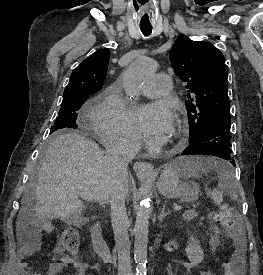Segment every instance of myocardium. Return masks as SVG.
<instances>
[{
	"label": "myocardium",
	"mask_w": 263,
	"mask_h": 275,
	"mask_svg": "<svg viewBox=\"0 0 263 275\" xmlns=\"http://www.w3.org/2000/svg\"><path fill=\"white\" fill-rule=\"evenodd\" d=\"M183 138V131L181 127H176L175 128V139L174 142L179 143Z\"/></svg>",
	"instance_id": "f54148a6"
}]
</instances>
